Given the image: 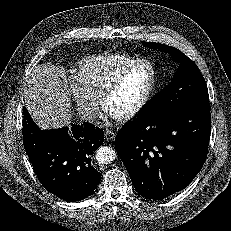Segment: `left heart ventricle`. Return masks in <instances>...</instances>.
<instances>
[{
  "instance_id": "obj_1",
  "label": "left heart ventricle",
  "mask_w": 231,
  "mask_h": 231,
  "mask_svg": "<svg viewBox=\"0 0 231 231\" xmlns=\"http://www.w3.org/2000/svg\"><path fill=\"white\" fill-rule=\"evenodd\" d=\"M151 69L146 64L135 67L126 76L120 87L105 102V109L111 115L123 113L132 108L144 95L151 82Z\"/></svg>"
}]
</instances>
